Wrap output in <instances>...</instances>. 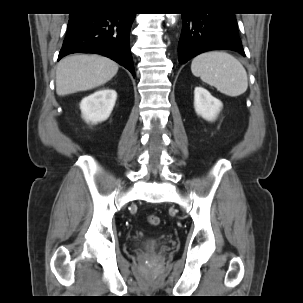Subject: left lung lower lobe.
<instances>
[{
  "mask_svg": "<svg viewBox=\"0 0 303 303\" xmlns=\"http://www.w3.org/2000/svg\"><path fill=\"white\" fill-rule=\"evenodd\" d=\"M182 20L178 44L180 63H186L202 52L216 49L233 50L245 56L235 14L224 12L182 14Z\"/></svg>",
  "mask_w": 303,
  "mask_h": 303,
  "instance_id": "0a47b994",
  "label": "left lung lower lobe"
}]
</instances>
